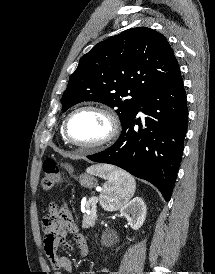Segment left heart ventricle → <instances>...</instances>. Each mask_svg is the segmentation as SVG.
<instances>
[{
  "mask_svg": "<svg viewBox=\"0 0 215 274\" xmlns=\"http://www.w3.org/2000/svg\"><path fill=\"white\" fill-rule=\"evenodd\" d=\"M109 130L107 119L95 111L77 113L70 121L69 134L73 140L83 144L102 139Z\"/></svg>",
  "mask_w": 215,
  "mask_h": 274,
  "instance_id": "obj_1",
  "label": "left heart ventricle"
}]
</instances>
